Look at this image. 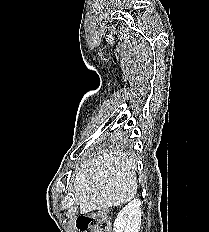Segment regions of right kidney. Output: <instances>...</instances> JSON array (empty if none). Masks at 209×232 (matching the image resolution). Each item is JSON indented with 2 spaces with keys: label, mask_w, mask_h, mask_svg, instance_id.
<instances>
[{
  "label": "right kidney",
  "mask_w": 209,
  "mask_h": 232,
  "mask_svg": "<svg viewBox=\"0 0 209 232\" xmlns=\"http://www.w3.org/2000/svg\"><path fill=\"white\" fill-rule=\"evenodd\" d=\"M141 201H130L117 215L114 221V232H139L141 226Z\"/></svg>",
  "instance_id": "right-kidney-1"
}]
</instances>
